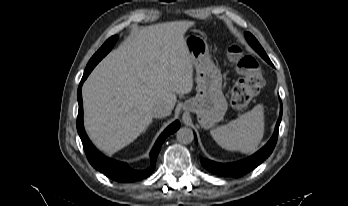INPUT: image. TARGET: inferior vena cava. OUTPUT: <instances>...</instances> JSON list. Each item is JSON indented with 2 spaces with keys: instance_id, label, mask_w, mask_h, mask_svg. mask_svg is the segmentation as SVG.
I'll return each instance as SVG.
<instances>
[{
  "instance_id": "1",
  "label": "inferior vena cava",
  "mask_w": 348,
  "mask_h": 206,
  "mask_svg": "<svg viewBox=\"0 0 348 206\" xmlns=\"http://www.w3.org/2000/svg\"><path fill=\"white\" fill-rule=\"evenodd\" d=\"M152 113L155 118H163L171 114L168 108L161 105L154 107Z\"/></svg>"
}]
</instances>
